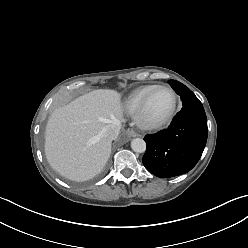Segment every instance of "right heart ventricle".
Here are the masks:
<instances>
[{
  "mask_svg": "<svg viewBox=\"0 0 248 248\" xmlns=\"http://www.w3.org/2000/svg\"><path fill=\"white\" fill-rule=\"evenodd\" d=\"M156 85H144L132 91L125 100L126 110L130 114H136L145 95Z\"/></svg>",
  "mask_w": 248,
  "mask_h": 248,
  "instance_id": "e07e8e85",
  "label": "right heart ventricle"
}]
</instances>
